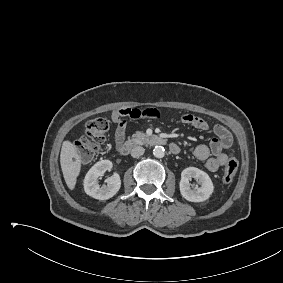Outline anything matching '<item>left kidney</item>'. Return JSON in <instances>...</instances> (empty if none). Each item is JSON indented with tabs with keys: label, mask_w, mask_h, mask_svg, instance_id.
Wrapping results in <instances>:
<instances>
[{
	"label": "left kidney",
	"mask_w": 283,
	"mask_h": 283,
	"mask_svg": "<svg viewBox=\"0 0 283 283\" xmlns=\"http://www.w3.org/2000/svg\"><path fill=\"white\" fill-rule=\"evenodd\" d=\"M192 178L199 181L200 187L191 188L189 181ZM179 186L182 197L190 202H203L214 191L213 183L208 174L196 167H188L182 171Z\"/></svg>",
	"instance_id": "obj_1"
}]
</instances>
